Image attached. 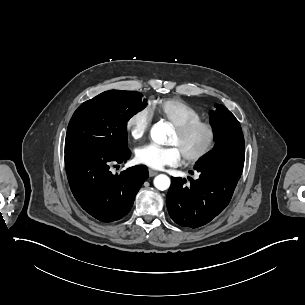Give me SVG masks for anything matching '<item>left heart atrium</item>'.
Here are the masks:
<instances>
[{"instance_id":"39dd6f15","label":"left heart atrium","mask_w":305,"mask_h":305,"mask_svg":"<svg viewBox=\"0 0 305 305\" xmlns=\"http://www.w3.org/2000/svg\"><path fill=\"white\" fill-rule=\"evenodd\" d=\"M177 146H160L154 143L141 145L135 150L137 162L151 168H161L165 165L177 164L181 159Z\"/></svg>"}]
</instances>
